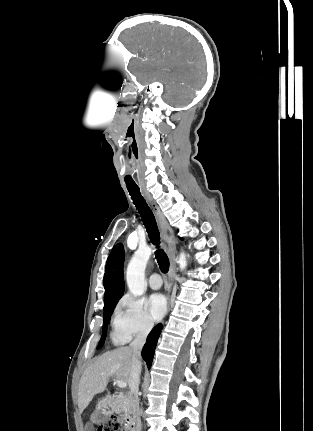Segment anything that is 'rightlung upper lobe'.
<instances>
[{
    "instance_id": "obj_1",
    "label": "right lung upper lobe",
    "mask_w": 313,
    "mask_h": 431,
    "mask_svg": "<svg viewBox=\"0 0 313 431\" xmlns=\"http://www.w3.org/2000/svg\"><path fill=\"white\" fill-rule=\"evenodd\" d=\"M123 263L124 249L119 243L113 247L106 262L104 307L118 302L124 293Z\"/></svg>"
}]
</instances>
